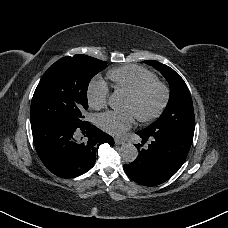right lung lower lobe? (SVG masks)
Here are the masks:
<instances>
[{"label":"right lung lower lobe","mask_w":228,"mask_h":228,"mask_svg":"<svg viewBox=\"0 0 228 228\" xmlns=\"http://www.w3.org/2000/svg\"><path fill=\"white\" fill-rule=\"evenodd\" d=\"M31 128L41 161L62 178H74L87 172L95 163L99 146L114 145L110 135L87 121L80 126L45 121L33 123Z\"/></svg>","instance_id":"1"}]
</instances>
